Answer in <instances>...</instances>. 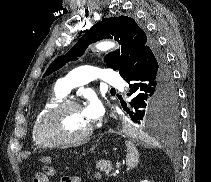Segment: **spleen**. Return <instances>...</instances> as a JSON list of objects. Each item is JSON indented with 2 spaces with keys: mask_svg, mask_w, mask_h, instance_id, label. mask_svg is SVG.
Wrapping results in <instances>:
<instances>
[{
  "mask_svg": "<svg viewBox=\"0 0 211 182\" xmlns=\"http://www.w3.org/2000/svg\"><path fill=\"white\" fill-rule=\"evenodd\" d=\"M127 147L126 164L129 167H135L139 162V153L135 145L129 141L125 142Z\"/></svg>",
  "mask_w": 211,
  "mask_h": 182,
  "instance_id": "spleen-1",
  "label": "spleen"
}]
</instances>
